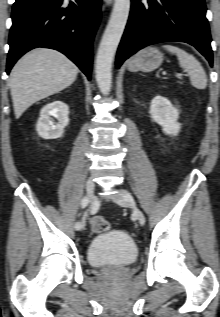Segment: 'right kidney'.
Wrapping results in <instances>:
<instances>
[{
    "mask_svg": "<svg viewBox=\"0 0 220 317\" xmlns=\"http://www.w3.org/2000/svg\"><path fill=\"white\" fill-rule=\"evenodd\" d=\"M69 107L62 101H53L45 105L40 112L36 130L44 139H57L62 136L64 128L69 123ZM52 117L57 119L54 122Z\"/></svg>",
    "mask_w": 220,
    "mask_h": 317,
    "instance_id": "right-kidney-1",
    "label": "right kidney"
}]
</instances>
